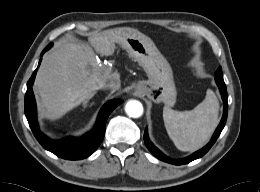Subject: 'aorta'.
<instances>
[{
	"instance_id": "obj_1",
	"label": "aorta",
	"mask_w": 260,
	"mask_h": 192,
	"mask_svg": "<svg viewBox=\"0 0 260 192\" xmlns=\"http://www.w3.org/2000/svg\"><path fill=\"white\" fill-rule=\"evenodd\" d=\"M125 112L129 117L138 118L143 114V106L137 100H130L125 105Z\"/></svg>"
}]
</instances>
